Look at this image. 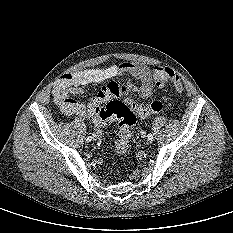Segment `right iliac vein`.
Segmentation results:
<instances>
[{
  "label": "right iliac vein",
  "mask_w": 233,
  "mask_h": 233,
  "mask_svg": "<svg viewBox=\"0 0 233 233\" xmlns=\"http://www.w3.org/2000/svg\"><path fill=\"white\" fill-rule=\"evenodd\" d=\"M98 134L97 133H93V135H92V138H93V140H96V139H98Z\"/></svg>",
  "instance_id": "63e3f726"
}]
</instances>
